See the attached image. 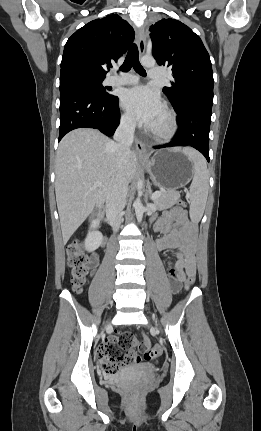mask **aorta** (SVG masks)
Returning <instances> with one entry per match:
<instances>
[{"label": "aorta", "mask_w": 261, "mask_h": 431, "mask_svg": "<svg viewBox=\"0 0 261 431\" xmlns=\"http://www.w3.org/2000/svg\"><path fill=\"white\" fill-rule=\"evenodd\" d=\"M141 64L145 67H148V68L154 67L155 66V59L152 56H144L141 59ZM134 208H135L137 220H138V222H141L142 218H143L144 207H143L142 202H141L139 197L134 202Z\"/></svg>", "instance_id": "obj_1"}]
</instances>
